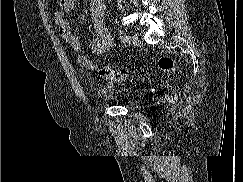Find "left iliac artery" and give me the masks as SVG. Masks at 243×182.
Masks as SVG:
<instances>
[{"label": "left iliac artery", "instance_id": "left-iliac-artery-1", "mask_svg": "<svg viewBox=\"0 0 243 182\" xmlns=\"http://www.w3.org/2000/svg\"><path fill=\"white\" fill-rule=\"evenodd\" d=\"M120 39L125 43L128 40V37L126 35L120 36Z\"/></svg>", "mask_w": 243, "mask_h": 182}]
</instances>
